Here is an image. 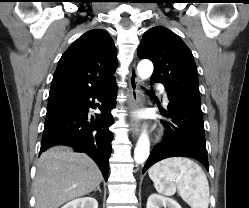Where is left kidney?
<instances>
[{
    "instance_id": "left-kidney-1",
    "label": "left kidney",
    "mask_w": 249,
    "mask_h": 208,
    "mask_svg": "<svg viewBox=\"0 0 249 208\" xmlns=\"http://www.w3.org/2000/svg\"><path fill=\"white\" fill-rule=\"evenodd\" d=\"M182 208L174 199L158 194L149 196L146 208Z\"/></svg>"
}]
</instances>
